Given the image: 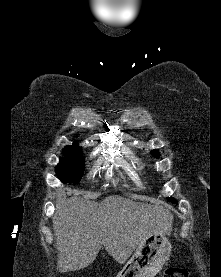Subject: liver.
<instances>
[{"label":"liver","instance_id":"6515ba94","mask_svg":"<svg viewBox=\"0 0 221 277\" xmlns=\"http://www.w3.org/2000/svg\"><path fill=\"white\" fill-rule=\"evenodd\" d=\"M173 216L169 210L112 195L101 202L66 198L58 190L53 231L61 272L83 269L96 259L104 245L118 263L155 233L170 234Z\"/></svg>","mask_w":221,"mask_h":277}]
</instances>
